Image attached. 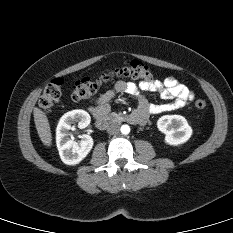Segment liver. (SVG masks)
Masks as SVG:
<instances>
[{
    "mask_svg": "<svg viewBox=\"0 0 233 233\" xmlns=\"http://www.w3.org/2000/svg\"><path fill=\"white\" fill-rule=\"evenodd\" d=\"M33 115H34L36 130L38 132L40 140L45 146L48 147L51 146L52 134L47 116L41 109L37 107L34 108Z\"/></svg>",
    "mask_w": 233,
    "mask_h": 233,
    "instance_id": "liver-1",
    "label": "liver"
}]
</instances>
